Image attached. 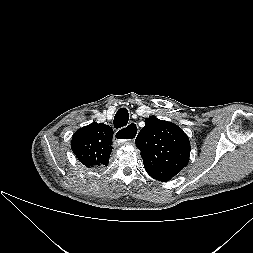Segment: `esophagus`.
Returning <instances> with one entry per match:
<instances>
[{
    "instance_id": "esophagus-1",
    "label": "esophagus",
    "mask_w": 253,
    "mask_h": 253,
    "mask_svg": "<svg viewBox=\"0 0 253 253\" xmlns=\"http://www.w3.org/2000/svg\"><path fill=\"white\" fill-rule=\"evenodd\" d=\"M138 126L136 123H130L126 127L119 129L115 132V139L118 142L126 143L136 138L138 134Z\"/></svg>"
}]
</instances>
